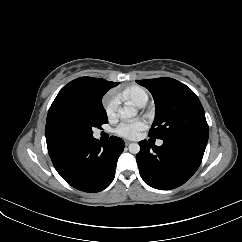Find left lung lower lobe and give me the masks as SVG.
I'll use <instances>...</instances> for the list:
<instances>
[{
	"label": "left lung lower lobe",
	"mask_w": 242,
	"mask_h": 242,
	"mask_svg": "<svg viewBox=\"0 0 242 242\" xmlns=\"http://www.w3.org/2000/svg\"><path fill=\"white\" fill-rule=\"evenodd\" d=\"M139 145L136 160L142 179L153 188L170 190L184 184L196 172L207 142L188 139L154 146L143 140Z\"/></svg>",
	"instance_id": "obj_1"
}]
</instances>
